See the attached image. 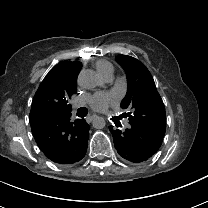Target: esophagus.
Instances as JSON below:
<instances>
[{"label": "esophagus", "mask_w": 208, "mask_h": 208, "mask_svg": "<svg viewBox=\"0 0 208 208\" xmlns=\"http://www.w3.org/2000/svg\"><path fill=\"white\" fill-rule=\"evenodd\" d=\"M97 117V115H90L89 117H87V122H92L93 119H95Z\"/></svg>", "instance_id": "1"}]
</instances>
